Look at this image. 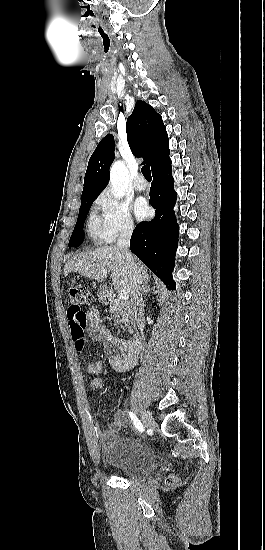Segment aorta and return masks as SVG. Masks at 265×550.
I'll use <instances>...</instances> for the list:
<instances>
[{
  "label": "aorta",
  "mask_w": 265,
  "mask_h": 550,
  "mask_svg": "<svg viewBox=\"0 0 265 550\" xmlns=\"http://www.w3.org/2000/svg\"><path fill=\"white\" fill-rule=\"evenodd\" d=\"M110 182L114 197L122 198L126 195L129 185V173L123 162L116 161L113 163L110 170Z\"/></svg>",
  "instance_id": "1"
}]
</instances>
